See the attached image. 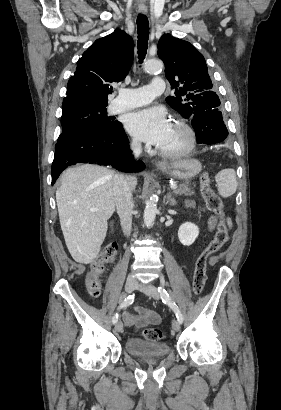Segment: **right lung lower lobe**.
I'll return each mask as SVG.
<instances>
[{"label": "right lung lower lobe", "instance_id": "right-lung-lower-lobe-1", "mask_svg": "<svg viewBox=\"0 0 281 410\" xmlns=\"http://www.w3.org/2000/svg\"><path fill=\"white\" fill-rule=\"evenodd\" d=\"M77 163L111 165L123 172H137L145 168L131 156L129 140L122 124L104 132H81L58 141L52 164V185L60 173Z\"/></svg>", "mask_w": 281, "mask_h": 410}]
</instances>
